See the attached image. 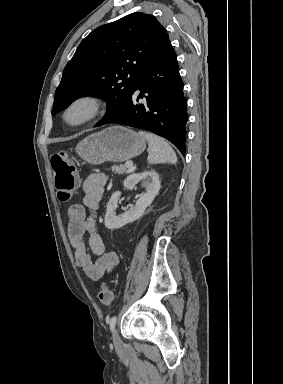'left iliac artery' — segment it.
I'll list each match as a JSON object with an SVG mask.
<instances>
[{"mask_svg":"<svg viewBox=\"0 0 283 384\" xmlns=\"http://www.w3.org/2000/svg\"><path fill=\"white\" fill-rule=\"evenodd\" d=\"M116 320H117V317L116 316H113L111 319H110V330L113 331L114 328H115V325H116Z\"/></svg>","mask_w":283,"mask_h":384,"instance_id":"44dca946","label":"left iliac artery"}]
</instances>
